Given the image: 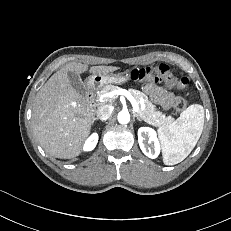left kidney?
I'll use <instances>...</instances> for the list:
<instances>
[{
  "instance_id": "obj_1",
  "label": "left kidney",
  "mask_w": 231,
  "mask_h": 231,
  "mask_svg": "<svg viewBox=\"0 0 231 231\" xmlns=\"http://www.w3.org/2000/svg\"><path fill=\"white\" fill-rule=\"evenodd\" d=\"M138 142L142 152L149 158L155 159L160 154V143L155 130L149 127L138 129Z\"/></svg>"
}]
</instances>
